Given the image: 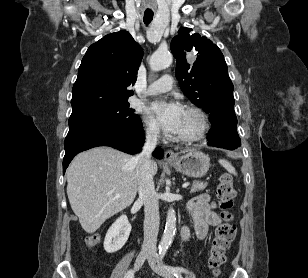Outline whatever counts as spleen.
Listing matches in <instances>:
<instances>
[{
	"label": "spleen",
	"instance_id": "3e777b00",
	"mask_svg": "<svg viewBox=\"0 0 308 278\" xmlns=\"http://www.w3.org/2000/svg\"><path fill=\"white\" fill-rule=\"evenodd\" d=\"M219 164L223 166L229 173L233 175H237L235 168L232 166V164L227 161L226 159H219Z\"/></svg>",
	"mask_w": 308,
	"mask_h": 278
}]
</instances>
